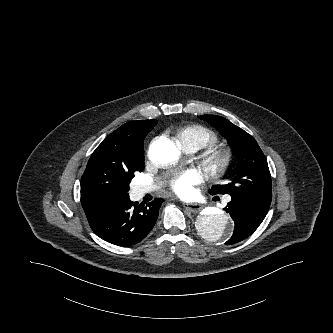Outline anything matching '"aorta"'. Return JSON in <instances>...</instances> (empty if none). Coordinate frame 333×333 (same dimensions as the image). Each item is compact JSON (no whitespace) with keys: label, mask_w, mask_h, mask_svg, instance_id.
<instances>
[{"label":"aorta","mask_w":333,"mask_h":333,"mask_svg":"<svg viewBox=\"0 0 333 333\" xmlns=\"http://www.w3.org/2000/svg\"><path fill=\"white\" fill-rule=\"evenodd\" d=\"M179 150L169 140H156L149 147V158L156 164H168L178 159ZM200 234L209 240L224 241L232 233L230 219L225 212L202 213L198 220Z\"/></svg>","instance_id":"obj_1"}]
</instances>
